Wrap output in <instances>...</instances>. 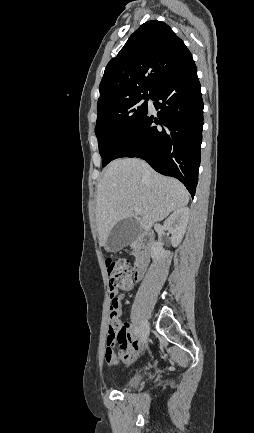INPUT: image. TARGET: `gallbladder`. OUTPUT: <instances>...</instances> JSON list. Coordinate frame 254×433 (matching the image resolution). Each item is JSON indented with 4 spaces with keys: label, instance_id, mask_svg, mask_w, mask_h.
Returning <instances> with one entry per match:
<instances>
[{
    "label": "gallbladder",
    "instance_id": "obj_1",
    "mask_svg": "<svg viewBox=\"0 0 254 433\" xmlns=\"http://www.w3.org/2000/svg\"><path fill=\"white\" fill-rule=\"evenodd\" d=\"M141 233V227L133 219H124L117 222L108 236L105 249L116 252L133 242Z\"/></svg>",
    "mask_w": 254,
    "mask_h": 433
}]
</instances>
